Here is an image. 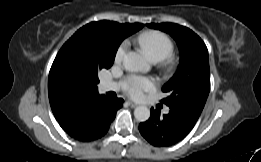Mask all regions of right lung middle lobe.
Listing matches in <instances>:
<instances>
[{
    "label": "right lung middle lobe",
    "instance_id": "right-lung-middle-lobe-1",
    "mask_svg": "<svg viewBox=\"0 0 261 162\" xmlns=\"http://www.w3.org/2000/svg\"><path fill=\"white\" fill-rule=\"evenodd\" d=\"M131 32L115 26H89L74 34L58 52L48 79L57 96H73L97 88L98 72L110 68L120 43Z\"/></svg>",
    "mask_w": 261,
    "mask_h": 162
}]
</instances>
